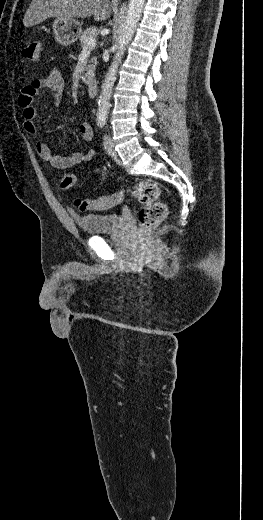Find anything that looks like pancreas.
I'll use <instances>...</instances> for the list:
<instances>
[{"label":"pancreas","mask_w":263,"mask_h":520,"mask_svg":"<svg viewBox=\"0 0 263 520\" xmlns=\"http://www.w3.org/2000/svg\"><path fill=\"white\" fill-rule=\"evenodd\" d=\"M96 33H97L96 27H89L84 32H82L79 37L81 47L82 48L86 47L88 40L90 38H94L96 36ZM96 64H97L96 57L91 58L88 66L86 68L85 82H89L91 80V78L93 77Z\"/></svg>","instance_id":"cf45deb5"}]
</instances>
